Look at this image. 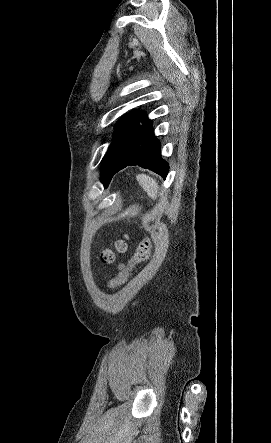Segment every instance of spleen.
<instances>
[{"instance_id":"1","label":"spleen","mask_w":271,"mask_h":443,"mask_svg":"<svg viewBox=\"0 0 271 443\" xmlns=\"http://www.w3.org/2000/svg\"><path fill=\"white\" fill-rule=\"evenodd\" d=\"M137 182H139L141 188L147 192L148 196L152 198V200H156L158 194V186L156 184V180L153 178H149L146 174H138L136 176Z\"/></svg>"}]
</instances>
